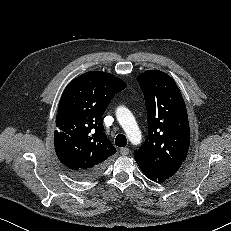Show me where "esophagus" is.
Segmentation results:
<instances>
[{"label":"esophagus","mask_w":231,"mask_h":231,"mask_svg":"<svg viewBox=\"0 0 231 231\" xmlns=\"http://www.w3.org/2000/svg\"><path fill=\"white\" fill-rule=\"evenodd\" d=\"M120 154L123 156H126L129 154V149L128 148H121L120 149Z\"/></svg>","instance_id":"esophagus-1"}]
</instances>
